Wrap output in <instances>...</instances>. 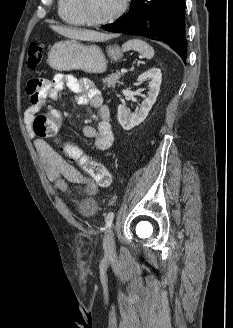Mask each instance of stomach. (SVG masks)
<instances>
[{
  "instance_id": "stomach-1",
  "label": "stomach",
  "mask_w": 233,
  "mask_h": 328,
  "mask_svg": "<svg viewBox=\"0 0 233 328\" xmlns=\"http://www.w3.org/2000/svg\"><path fill=\"white\" fill-rule=\"evenodd\" d=\"M107 53L114 61L122 57V52L116 45L109 46ZM47 61L57 71L103 73L107 67V60L97 45H84L76 40L55 43L48 53Z\"/></svg>"
}]
</instances>
